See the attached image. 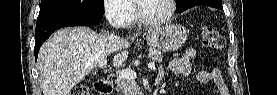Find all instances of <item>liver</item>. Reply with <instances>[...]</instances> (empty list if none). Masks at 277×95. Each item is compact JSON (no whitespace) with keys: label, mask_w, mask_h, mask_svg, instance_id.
I'll return each mask as SVG.
<instances>
[{"label":"liver","mask_w":277,"mask_h":95,"mask_svg":"<svg viewBox=\"0 0 277 95\" xmlns=\"http://www.w3.org/2000/svg\"><path fill=\"white\" fill-rule=\"evenodd\" d=\"M129 46L125 39L109 33L97 34L87 27L57 30L39 51L43 95H69L110 54H115L113 66H121L127 60Z\"/></svg>","instance_id":"1"}]
</instances>
